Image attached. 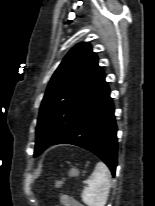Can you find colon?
Wrapping results in <instances>:
<instances>
[{"label":"colon","instance_id":"obj_1","mask_svg":"<svg viewBox=\"0 0 155 206\" xmlns=\"http://www.w3.org/2000/svg\"><path fill=\"white\" fill-rule=\"evenodd\" d=\"M73 206H82L81 204H79L77 201H73Z\"/></svg>","mask_w":155,"mask_h":206}]
</instances>
